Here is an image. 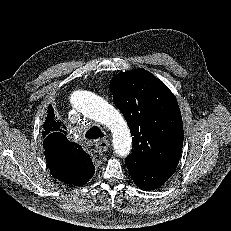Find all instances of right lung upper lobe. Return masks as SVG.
Segmentation results:
<instances>
[{
	"instance_id": "obj_1",
	"label": "right lung upper lobe",
	"mask_w": 231,
	"mask_h": 231,
	"mask_svg": "<svg viewBox=\"0 0 231 231\" xmlns=\"http://www.w3.org/2000/svg\"><path fill=\"white\" fill-rule=\"evenodd\" d=\"M45 119L43 147L52 176L64 183L85 184L94 174L92 159L81 146L68 141L66 127L55 117L51 105Z\"/></svg>"
}]
</instances>
